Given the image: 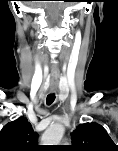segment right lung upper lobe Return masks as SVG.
I'll list each match as a JSON object with an SVG mask.
<instances>
[{
    "mask_svg": "<svg viewBox=\"0 0 118 151\" xmlns=\"http://www.w3.org/2000/svg\"><path fill=\"white\" fill-rule=\"evenodd\" d=\"M38 135L24 117L9 122L0 132V151H35Z\"/></svg>",
    "mask_w": 118,
    "mask_h": 151,
    "instance_id": "1",
    "label": "right lung upper lobe"
}]
</instances>
